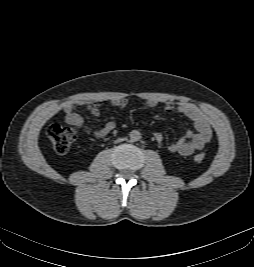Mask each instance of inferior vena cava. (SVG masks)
I'll return each mask as SVG.
<instances>
[{
    "mask_svg": "<svg viewBox=\"0 0 254 267\" xmlns=\"http://www.w3.org/2000/svg\"><path fill=\"white\" fill-rule=\"evenodd\" d=\"M123 140H124L123 138H119V139H117L115 142L118 143V142H121V141H123Z\"/></svg>",
    "mask_w": 254,
    "mask_h": 267,
    "instance_id": "1",
    "label": "inferior vena cava"
}]
</instances>
